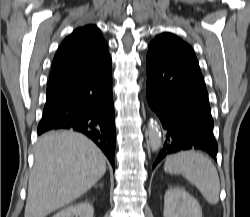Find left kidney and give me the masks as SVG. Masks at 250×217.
<instances>
[{"instance_id": "left-kidney-1", "label": "left kidney", "mask_w": 250, "mask_h": 217, "mask_svg": "<svg viewBox=\"0 0 250 217\" xmlns=\"http://www.w3.org/2000/svg\"><path fill=\"white\" fill-rule=\"evenodd\" d=\"M164 217H202L198 201L181 187L170 188L164 196Z\"/></svg>"}]
</instances>
